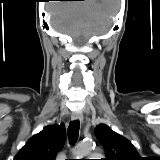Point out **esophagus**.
Masks as SVG:
<instances>
[{
	"instance_id": "1",
	"label": "esophagus",
	"mask_w": 160,
	"mask_h": 160,
	"mask_svg": "<svg viewBox=\"0 0 160 160\" xmlns=\"http://www.w3.org/2000/svg\"><path fill=\"white\" fill-rule=\"evenodd\" d=\"M71 119H72L73 121L78 120V121H80V122H83V115H82L80 112H74V113H72V115H71Z\"/></svg>"
}]
</instances>
